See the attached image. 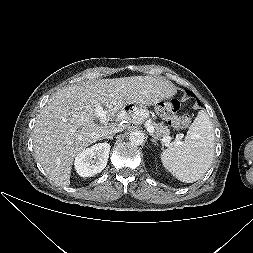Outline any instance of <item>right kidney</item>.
I'll return each mask as SVG.
<instances>
[{
  "mask_svg": "<svg viewBox=\"0 0 253 253\" xmlns=\"http://www.w3.org/2000/svg\"><path fill=\"white\" fill-rule=\"evenodd\" d=\"M110 144L98 143L81 151L75 158V169L82 177H92L107 165Z\"/></svg>",
  "mask_w": 253,
  "mask_h": 253,
  "instance_id": "right-kidney-1",
  "label": "right kidney"
}]
</instances>
